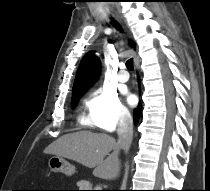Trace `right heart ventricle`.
<instances>
[{"label": "right heart ventricle", "mask_w": 210, "mask_h": 191, "mask_svg": "<svg viewBox=\"0 0 210 191\" xmlns=\"http://www.w3.org/2000/svg\"><path fill=\"white\" fill-rule=\"evenodd\" d=\"M81 122L84 123V124H89V123H91L89 117H86V116H82V117H81Z\"/></svg>", "instance_id": "1"}]
</instances>
